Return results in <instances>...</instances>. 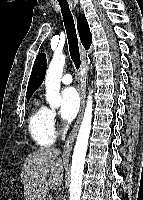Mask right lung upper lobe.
Listing matches in <instances>:
<instances>
[{
	"instance_id": "obj_1",
	"label": "right lung upper lobe",
	"mask_w": 143,
	"mask_h": 200,
	"mask_svg": "<svg viewBox=\"0 0 143 200\" xmlns=\"http://www.w3.org/2000/svg\"><path fill=\"white\" fill-rule=\"evenodd\" d=\"M77 27L81 42L85 49H89L92 42V35L89 30L87 20L84 15H79L77 18ZM46 56L39 54L34 62L32 73L29 79L26 97L30 99L35 90L41 85L46 73Z\"/></svg>"
}]
</instances>
